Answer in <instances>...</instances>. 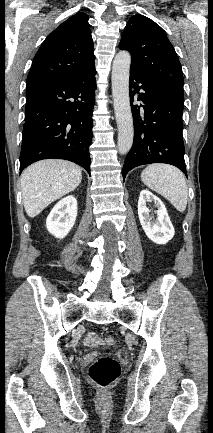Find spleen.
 Returning a JSON list of instances; mask_svg holds the SVG:
<instances>
[{
	"instance_id": "spleen-1",
	"label": "spleen",
	"mask_w": 213,
	"mask_h": 433,
	"mask_svg": "<svg viewBox=\"0 0 213 433\" xmlns=\"http://www.w3.org/2000/svg\"><path fill=\"white\" fill-rule=\"evenodd\" d=\"M142 182L164 196L179 212L187 206L188 189L183 173L171 165L152 164L141 173Z\"/></svg>"
}]
</instances>
